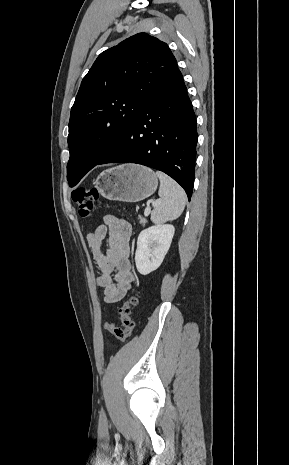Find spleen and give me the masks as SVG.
<instances>
[{
	"mask_svg": "<svg viewBox=\"0 0 289 465\" xmlns=\"http://www.w3.org/2000/svg\"><path fill=\"white\" fill-rule=\"evenodd\" d=\"M160 180L158 194L160 200L151 212V221L162 224L178 218L185 207L186 194L183 188L171 177L161 171L156 172Z\"/></svg>",
	"mask_w": 289,
	"mask_h": 465,
	"instance_id": "1",
	"label": "spleen"
}]
</instances>
